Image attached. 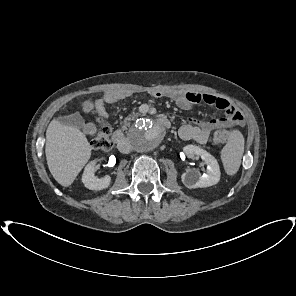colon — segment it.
<instances>
[{"label":"colon","instance_id":"colon-1","mask_svg":"<svg viewBox=\"0 0 296 296\" xmlns=\"http://www.w3.org/2000/svg\"><path fill=\"white\" fill-rule=\"evenodd\" d=\"M230 135V129H221L214 133L213 141L216 144L224 143ZM91 145L95 150L108 152L112 149L111 130L109 126L102 123L99 130L91 141Z\"/></svg>","mask_w":296,"mask_h":296}]
</instances>
